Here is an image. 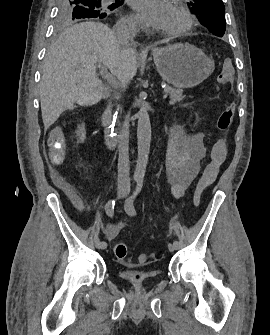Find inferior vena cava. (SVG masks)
<instances>
[{
	"mask_svg": "<svg viewBox=\"0 0 270 335\" xmlns=\"http://www.w3.org/2000/svg\"><path fill=\"white\" fill-rule=\"evenodd\" d=\"M113 32L118 40V44H125V42H133L138 28L134 26L132 20H127V18H121L113 26ZM118 78V76H117ZM121 82V88H126V80L118 78ZM118 148H119V158H118V185H130L129 177V122L126 118L125 122L122 124V128L118 136Z\"/></svg>",
	"mask_w": 270,
	"mask_h": 335,
	"instance_id": "1",
	"label": "inferior vena cava"
}]
</instances>
